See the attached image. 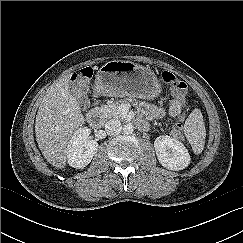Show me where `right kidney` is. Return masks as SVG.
I'll list each match as a JSON object with an SVG mask.
<instances>
[{
    "label": "right kidney",
    "instance_id": "1",
    "mask_svg": "<svg viewBox=\"0 0 243 243\" xmlns=\"http://www.w3.org/2000/svg\"><path fill=\"white\" fill-rule=\"evenodd\" d=\"M90 129L80 127L75 130L67 146V161L73 168H84L87 166L98 150V143L89 139Z\"/></svg>",
    "mask_w": 243,
    "mask_h": 243
}]
</instances>
